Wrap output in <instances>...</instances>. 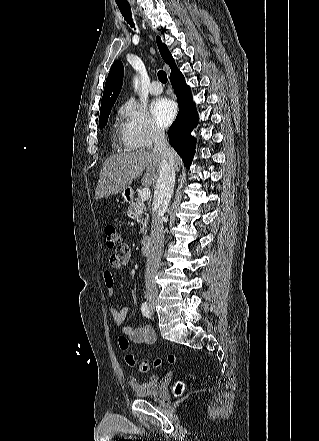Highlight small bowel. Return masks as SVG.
Instances as JSON below:
<instances>
[{"instance_id": "c3829d8e", "label": "small bowel", "mask_w": 319, "mask_h": 441, "mask_svg": "<svg viewBox=\"0 0 319 441\" xmlns=\"http://www.w3.org/2000/svg\"><path fill=\"white\" fill-rule=\"evenodd\" d=\"M131 253L129 247L125 244L120 245L117 250L110 255L109 265L113 269L120 270L124 268L130 260ZM104 283L109 296L114 295L115 278L111 271H105L103 273ZM111 317L117 325H122L127 317L128 308L122 307L121 309L111 308ZM122 332L127 335L133 343L136 344H153L155 342V333L149 325L140 327L122 326Z\"/></svg>"}]
</instances>
